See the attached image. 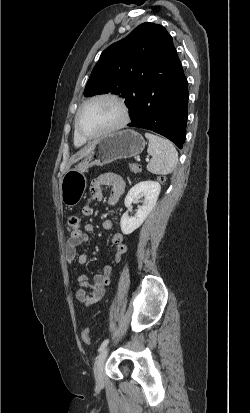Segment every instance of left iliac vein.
<instances>
[{"label": "left iliac vein", "mask_w": 250, "mask_h": 413, "mask_svg": "<svg viewBox=\"0 0 250 413\" xmlns=\"http://www.w3.org/2000/svg\"><path fill=\"white\" fill-rule=\"evenodd\" d=\"M107 354H108L107 348L101 351L94 365V376H95L96 383L98 385L103 384L104 362L106 360Z\"/></svg>", "instance_id": "4c4485c4"}]
</instances>
